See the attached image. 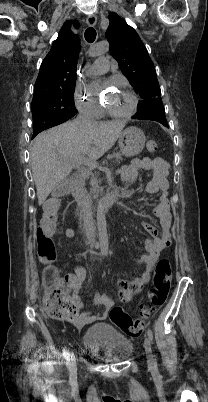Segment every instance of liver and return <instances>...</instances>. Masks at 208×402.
I'll use <instances>...</instances> for the list:
<instances>
[{"instance_id": "obj_1", "label": "liver", "mask_w": 208, "mask_h": 402, "mask_svg": "<svg viewBox=\"0 0 208 402\" xmlns=\"http://www.w3.org/2000/svg\"><path fill=\"white\" fill-rule=\"evenodd\" d=\"M126 122H91L77 126L72 122L39 134L32 142L31 166L38 204L68 178L79 156L98 160L114 146Z\"/></svg>"}]
</instances>
